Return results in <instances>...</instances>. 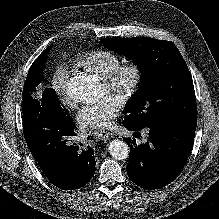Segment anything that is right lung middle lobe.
<instances>
[{"mask_svg": "<svg viewBox=\"0 0 219 219\" xmlns=\"http://www.w3.org/2000/svg\"><path fill=\"white\" fill-rule=\"evenodd\" d=\"M52 45L47 47L33 62L31 65L27 78L23 88L22 94V112L25 113L28 111L30 103H36L37 101L33 99L31 96L35 87L39 85L41 80L43 79V71L45 67V62L47 59V54L49 53ZM41 100L39 105L46 110L54 111L60 114L64 120L72 119L69 111L64 107V105L59 101L55 90L53 88H47L40 97Z\"/></svg>", "mask_w": 219, "mask_h": 219, "instance_id": "dd1d6c3e", "label": "right lung middle lobe"}]
</instances>
